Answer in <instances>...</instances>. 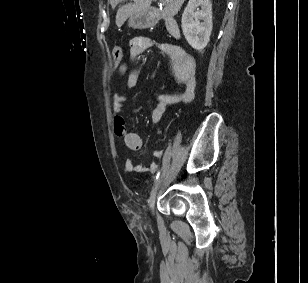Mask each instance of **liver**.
<instances>
[{
  "label": "liver",
  "instance_id": "liver-1",
  "mask_svg": "<svg viewBox=\"0 0 308 283\" xmlns=\"http://www.w3.org/2000/svg\"><path fill=\"white\" fill-rule=\"evenodd\" d=\"M124 0H110L112 7ZM153 0H133V3L120 7L116 14V25L121 27L124 22L132 15L145 13L149 10ZM165 3L164 12L168 16L176 15L181 9L185 0H163Z\"/></svg>",
  "mask_w": 308,
  "mask_h": 283
}]
</instances>
